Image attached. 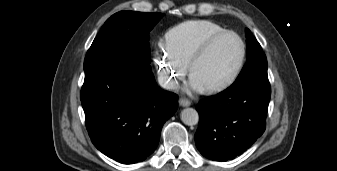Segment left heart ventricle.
Returning <instances> with one entry per match:
<instances>
[{
	"instance_id": "obj_1",
	"label": "left heart ventricle",
	"mask_w": 337,
	"mask_h": 171,
	"mask_svg": "<svg viewBox=\"0 0 337 171\" xmlns=\"http://www.w3.org/2000/svg\"><path fill=\"white\" fill-rule=\"evenodd\" d=\"M241 55V46L234 36L218 40L196 63L192 76L205 88L224 81L233 71Z\"/></svg>"
}]
</instances>
